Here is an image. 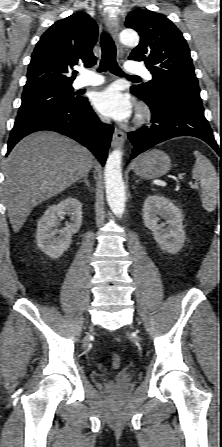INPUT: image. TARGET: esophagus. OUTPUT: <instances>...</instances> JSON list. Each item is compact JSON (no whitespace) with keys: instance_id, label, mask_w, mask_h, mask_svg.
Listing matches in <instances>:
<instances>
[{"instance_id":"34e87169","label":"esophagus","mask_w":222,"mask_h":447,"mask_svg":"<svg viewBox=\"0 0 222 447\" xmlns=\"http://www.w3.org/2000/svg\"><path fill=\"white\" fill-rule=\"evenodd\" d=\"M106 26L111 33L112 37L116 42L117 53L119 57H122L124 54L123 47L118 41V32H119V22L116 17H111L106 15L105 17ZM125 141V134L119 128H115L113 137H112V147L117 148L121 147Z\"/></svg>"}]
</instances>
